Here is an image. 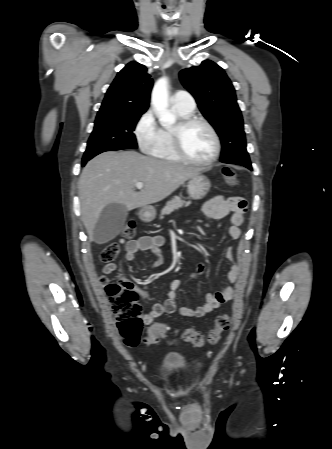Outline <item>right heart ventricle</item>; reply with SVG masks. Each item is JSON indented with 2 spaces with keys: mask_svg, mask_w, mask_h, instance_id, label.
I'll return each mask as SVG.
<instances>
[{
  "mask_svg": "<svg viewBox=\"0 0 332 449\" xmlns=\"http://www.w3.org/2000/svg\"><path fill=\"white\" fill-rule=\"evenodd\" d=\"M173 110L179 118L189 117L191 113L185 112L175 106H173ZM150 154L153 157L167 160V161H179L180 159L175 154L173 145H172V137L171 130L167 128H162L160 130V136L157 144L152 149Z\"/></svg>",
  "mask_w": 332,
  "mask_h": 449,
  "instance_id": "1",
  "label": "right heart ventricle"
}]
</instances>
